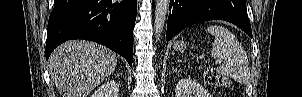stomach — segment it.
<instances>
[{
	"mask_svg": "<svg viewBox=\"0 0 302 97\" xmlns=\"http://www.w3.org/2000/svg\"><path fill=\"white\" fill-rule=\"evenodd\" d=\"M187 48V44L184 41H176L173 44V49L179 52L185 51Z\"/></svg>",
	"mask_w": 302,
	"mask_h": 97,
	"instance_id": "stomach-1",
	"label": "stomach"
}]
</instances>
